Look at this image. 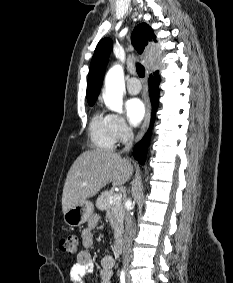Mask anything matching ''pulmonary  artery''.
I'll list each match as a JSON object with an SVG mask.
<instances>
[{
	"label": "pulmonary artery",
	"mask_w": 233,
	"mask_h": 283,
	"mask_svg": "<svg viewBox=\"0 0 233 283\" xmlns=\"http://www.w3.org/2000/svg\"><path fill=\"white\" fill-rule=\"evenodd\" d=\"M126 88L130 94H138L141 91V83L136 77H132L127 81Z\"/></svg>",
	"instance_id": "1"
}]
</instances>
